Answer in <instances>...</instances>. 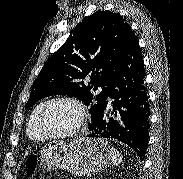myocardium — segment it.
Masks as SVG:
<instances>
[{"label": "myocardium", "instance_id": "obj_1", "mask_svg": "<svg viewBox=\"0 0 183 179\" xmlns=\"http://www.w3.org/2000/svg\"><path fill=\"white\" fill-rule=\"evenodd\" d=\"M58 102H66V103H70V104L74 105L78 109V112H79V121L73 129H71L67 132L56 133V134L48 133L44 130V128L42 126V119H43V116H44L46 110L52 104L58 103ZM87 119H88V115H87L86 108L79 99L70 97V96H59V97L52 98L43 104V106L41 107V109L38 113L36 125H37V129H38L39 133L44 138L63 139V138L73 137L76 134H78L79 132H81V130L85 127V125L87 123Z\"/></svg>", "mask_w": 183, "mask_h": 179}]
</instances>
